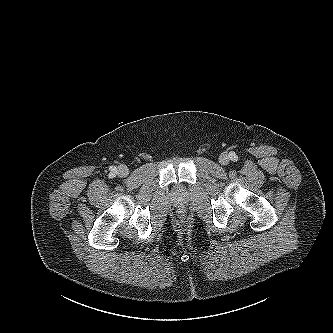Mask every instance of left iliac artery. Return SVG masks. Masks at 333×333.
Listing matches in <instances>:
<instances>
[{"instance_id": "left-iliac-artery-1", "label": "left iliac artery", "mask_w": 333, "mask_h": 333, "mask_svg": "<svg viewBox=\"0 0 333 333\" xmlns=\"http://www.w3.org/2000/svg\"><path fill=\"white\" fill-rule=\"evenodd\" d=\"M230 158H231V160H237V156L235 155V154H230Z\"/></svg>"}]
</instances>
